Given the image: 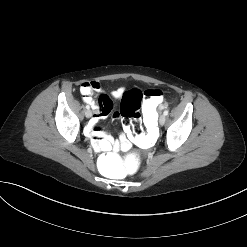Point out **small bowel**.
Returning <instances> with one entry per match:
<instances>
[{"label": "small bowel", "instance_id": "small-bowel-1", "mask_svg": "<svg viewBox=\"0 0 247 247\" xmlns=\"http://www.w3.org/2000/svg\"><path fill=\"white\" fill-rule=\"evenodd\" d=\"M101 90L100 84L96 81H89L82 84L80 92L83 101L89 104L95 111L94 118L86 127L87 136L91 139L96 150H127L130 147V135L125 128V133L122 134L119 140L114 141L108 134L97 127V123L108 116L112 109V101L108 95L101 93L97 100L93 98L95 92ZM123 95V89L119 88L112 92L114 98H120ZM115 118L119 117V113L114 114Z\"/></svg>", "mask_w": 247, "mask_h": 247}]
</instances>
